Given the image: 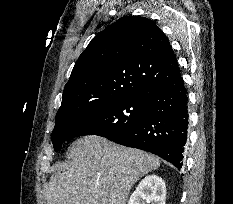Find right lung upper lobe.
<instances>
[{
    "label": "right lung upper lobe",
    "instance_id": "cb5924a9",
    "mask_svg": "<svg viewBox=\"0 0 233 204\" xmlns=\"http://www.w3.org/2000/svg\"><path fill=\"white\" fill-rule=\"evenodd\" d=\"M176 67L170 42L152 20L124 17L97 34L78 58L55 126L113 100L148 96Z\"/></svg>",
    "mask_w": 233,
    "mask_h": 204
}]
</instances>
